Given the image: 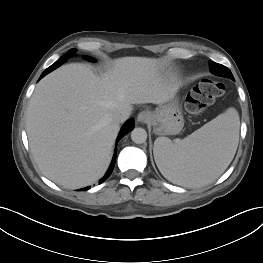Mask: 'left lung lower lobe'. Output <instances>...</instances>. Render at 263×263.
I'll return each instance as SVG.
<instances>
[{
	"label": "left lung lower lobe",
	"instance_id": "obj_1",
	"mask_svg": "<svg viewBox=\"0 0 263 263\" xmlns=\"http://www.w3.org/2000/svg\"><path fill=\"white\" fill-rule=\"evenodd\" d=\"M210 70L212 73L216 72V69L214 67H211Z\"/></svg>",
	"mask_w": 263,
	"mask_h": 263
}]
</instances>
